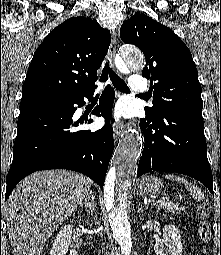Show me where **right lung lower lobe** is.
<instances>
[{"label": "right lung lower lobe", "mask_w": 221, "mask_h": 255, "mask_svg": "<svg viewBox=\"0 0 221 255\" xmlns=\"http://www.w3.org/2000/svg\"><path fill=\"white\" fill-rule=\"evenodd\" d=\"M92 90L77 96L27 104L20 107L12 165L7 175L5 200L25 176L39 170L69 169L83 173L103 188L108 164L113 153V132L109 124L114 90L108 85L93 110L106 124L97 131L76 130L79 123L72 116L93 97ZM1 206V196H0Z\"/></svg>", "instance_id": "obj_1"}]
</instances>
